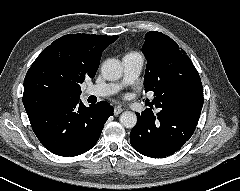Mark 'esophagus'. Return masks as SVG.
Returning a JSON list of instances; mask_svg holds the SVG:
<instances>
[{
  "label": "esophagus",
  "mask_w": 240,
  "mask_h": 191,
  "mask_svg": "<svg viewBox=\"0 0 240 191\" xmlns=\"http://www.w3.org/2000/svg\"><path fill=\"white\" fill-rule=\"evenodd\" d=\"M122 111H123V109H122L120 106H116V107L114 108V114H115V115L120 114Z\"/></svg>",
  "instance_id": "1"
}]
</instances>
